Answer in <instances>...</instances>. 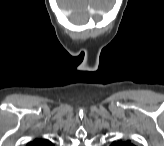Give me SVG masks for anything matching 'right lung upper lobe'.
<instances>
[{
	"label": "right lung upper lobe",
	"instance_id": "cb5924a9",
	"mask_svg": "<svg viewBox=\"0 0 164 146\" xmlns=\"http://www.w3.org/2000/svg\"><path fill=\"white\" fill-rule=\"evenodd\" d=\"M50 142L48 140H39L35 139L33 142L29 144V146H49Z\"/></svg>",
	"mask_w": 164,
	"mask_h": 146
}]
</instances>
